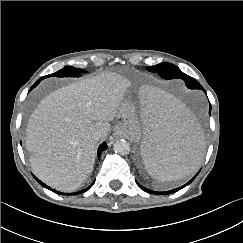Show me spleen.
<instances>
[{
    "mask_svg": "<svg viewBox=\"0 0 243 243\" xmlns=\"http://www.w3.org/2000/svg\"><path fill=\"white\" fill-rule=\"evenodd\" d=\"M141 160L161 182L184 178L202 162L205 139L193 114L173 96L154 88L140 94Z\"/></svg>",
    "mask_w": 243,
    "mask_h": 243,
    "instance_id": "obj_1",
    "label": "spleen"
}]
</instances>
